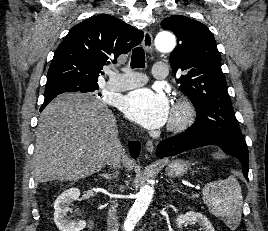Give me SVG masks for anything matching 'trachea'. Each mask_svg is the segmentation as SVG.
I'll use <instances>...</instances> for the list:
<instances>
[{"label": "trachea", "mask_w": 268, "mask_h": 231, "mask_svg": "<svg viewBox=\"0 0 268 231\" xmlns=\"http://www.w3.org/2000/svg\"><path fill=\"white\" fill-rule=\"evenodd\" d=\"M145 67V52L142 47H136L132 50L131 68Z\"/></svg>", "instance_id": "trachea-1"}]
</instances>
